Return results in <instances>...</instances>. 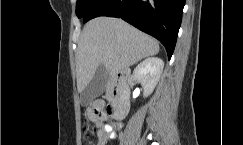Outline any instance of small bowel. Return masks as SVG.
Returning <instances> with one entry per match:
<instances>
[{
  "label": "small bowel",
  "mask_w": 243,
  "mask_h": 145,
  "mask_svg": "<svg viewBox=\"0 0 243 145\" xmlns=\"http://www.w3.org/2000/svg\"><path fill=\"white\" fill-rule=\"evenodd\" d=\"M105 102L103 100H96L94 102L92 110H96L99 115H95L94 113L90 112L88 113L89 117L92 120H96L98 122L102 120H106V116L103 113V110L105 109ZM116 132L113 131L111 125L109 124H101L100 131L98 133V141L97 145H106L108 142V139L115 138Z\"/></svg>",
  "instance_id": "obj_1"
}]
</instances>
